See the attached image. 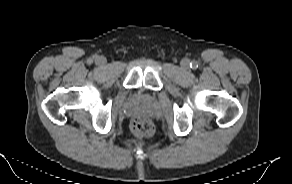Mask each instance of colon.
<instances>
[{"label":"colon","instance_id":"5ec220e1","mask_svg":"<svg viewBox=\"0 0 292 184\" xmlns=\"http://www.w3.org/2000/svg\"><path fill=\"white\" fill-rule=\"evenodd\" d=\"M131 131L136 136H150L154 128L148 121L136 119L131 123Z\"/></svg>","mask_w":292,"mask_h":184}]
</instances>
